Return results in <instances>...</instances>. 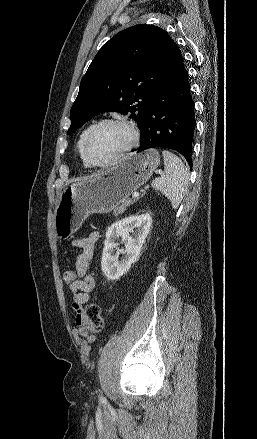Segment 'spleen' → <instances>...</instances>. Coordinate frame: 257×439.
Wrapping results in <instances>:
<instances>
[{
  "mask_svg": "<svg viewBox=\"0 0 257 439\" xmlns=\"http://www.w3.org/2000/svg\"><path fill=\"white\" fill-rule=\"evenodd\" d=\"M164 173L152 182L153 189L160 191L171 202L172 208H178L186 188L189 174L184 163L179 157L168 150H163Z\"/></svg>",
  "mask_w": 257,
  "mask_h": 439,
  "instance_id": "1",
  "label": "spleen"
}]
</instances>
